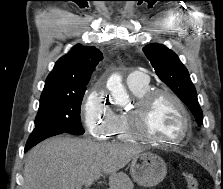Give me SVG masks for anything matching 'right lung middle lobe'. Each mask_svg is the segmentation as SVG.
I'll use <instances>...</instances> for the list:
<instances>
[{
  "label": "right lung middle lobe",
  "instance_id": "right-lung-middle-lobe-1",
  "mask_svg": "<svg viewBox=\"0 0 223 189\" xmlns=\"http://www.w3.org/2000/svg\"><path fill=\"white\" fill-rule=\"evenodd\" d=\"M86 88L75 92L42 94L33 133L61 131L74 135L84 134L80 108Z\"/></svg>",
  "mask_w": 223,
  "mask_h": 189
}]
</instances>
